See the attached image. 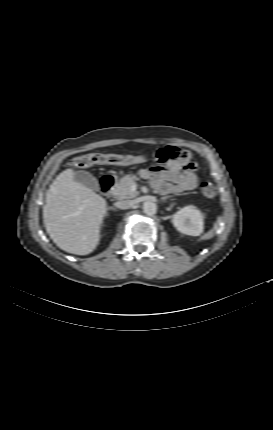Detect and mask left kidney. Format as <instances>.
Wrapping results in <instances>:
<instances>
[{
	"label": "left kidney",
	"instance_id": "1",
	"mask_svg": "<svg viewBox=\"0 0 273 430\" xmlns=\"http://www.w3.org/2000/svg\"><path fill=\"white\" fill-rule=\"evenodd\" d=\"M172 223L181 233L199 236L204 229V214L193 205H188L173 215Z\"/></svg>",
	"mask_w": 273,
	"mask_h": 430
}]
</instances>
